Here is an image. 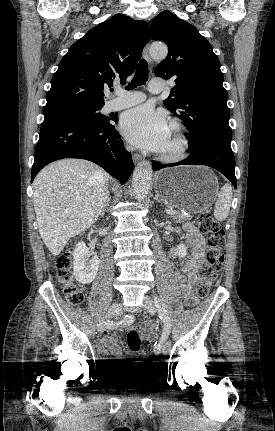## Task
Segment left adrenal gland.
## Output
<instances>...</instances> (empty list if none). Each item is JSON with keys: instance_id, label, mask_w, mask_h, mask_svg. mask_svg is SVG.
I'll return each mask as SVG.
<instances>
[{"instance_id": "left-adrenal-gland-1", "label": "left adrenal gland", "mask_w": 275, "mask_h": 431, "mask_svg": "<svg viewBox=\"0 0 275 431\" xmlns=\"http://www.w3.org/2000/svg\"><path fill=\"white\" fill-rule=\"evenodd\" d=\"M154 200H155V201H158L159 203L161 202V201L159 200V198H158V195H155Z\"/></svg>"}]
</instances>
